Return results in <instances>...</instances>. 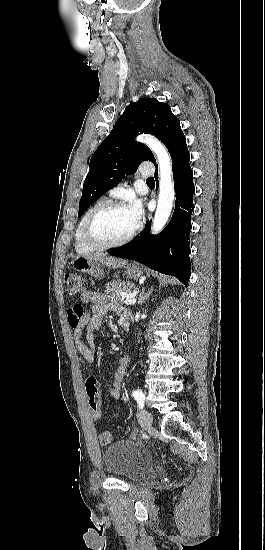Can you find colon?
Returning a JSON list of instances; mask_svg holds the SVG:
<instances>
[{
    "label": "colon",
    "instance_id": "colon-1",
    "mask_svg": "<svg viewBox=\"0 0 265 550\" xmlns=\"http://www.w3.org/2000/svg\"><path fill=\"white\" fill-rule=\"evenodd\" d=\"M65 289L68 296L74 297L84 291L86 287L85 279L74 271H67L64 274ZM69 314V323L71 326L77 324L75 319H72ZM85 392L87 396L88 406L93 418L99 419L102 416L101 396L96 379L90 377L85 382ZM112 441V435L109 431H103L100 435V443L104 446L109 445Z\"/></svg>",
    "mask_w": 265,
    "mask_h": 550
}]
</instances>
